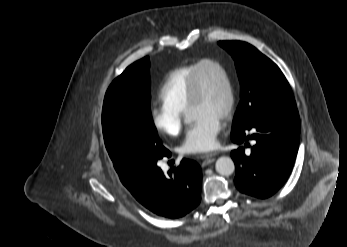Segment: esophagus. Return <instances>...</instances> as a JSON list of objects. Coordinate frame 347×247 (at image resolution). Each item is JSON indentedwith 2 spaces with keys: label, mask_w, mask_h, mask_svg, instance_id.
I'll list each match as a JSON object with an SVG mask.
<instances>
[{
  "label": "esophagus",
  "mask_w": 347,
  "mask_h": 247,
  "mask_svg": "<svg viewBox=\"0 0 347 247\" xmlns=\"http://www.w3.org/2000/svg\"><path fill=\"white\" fill-rule=\"evenodd\" d=\"M216 153H208V154H204L201 155L200 158L203 159V166L209 165L211 163H213L215 161V156Z\"/></svg>",
  "instance_id": "obj_1"
}]
</instances>
